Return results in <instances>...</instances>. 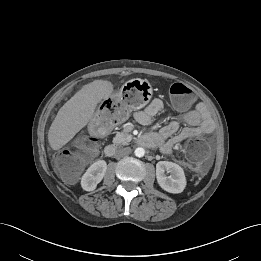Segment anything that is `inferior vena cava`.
<instances>
[{
    "mask_svg": "<svg viewBox=\"0 0 261 261\" xmlns=\"http://www.w3.org/2000/svg\"><path fill=\"white\" fill-rule=\"evenodd\" d=\"M130 153H131L130 147L119 148L116 150L115 157L122 158V157L128 156Z\"/></svg>",
    "mask_w": 261,
    "mask_h": 261,
    "instance_id": "obj_1",
    "label": "inferior vena cava"
}]
</instances>
